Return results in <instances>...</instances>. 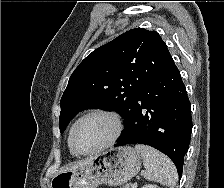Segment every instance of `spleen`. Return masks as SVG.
<instances>
[{
    "mask_svg": "<svg viewBox=\"0 0 224 188\" xmlns=\"http://www.w3.org/2000/svg\"><path fill=\"white\" fill-rule=\"evenodd\" d=\"M136 151L142 156L145 167L144 177L157 181L169 188H175L178 173L173 162L153 147L137 144Z\"/></svg>",
    "mask_w": 224,
    "mask_h": 188,
    "instance_id": "3e777b00",
    "label": "spleen"
}]
</instances>
